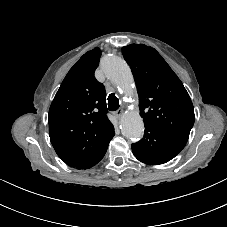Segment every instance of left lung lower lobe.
<instances>
[{
    "label": "left lung lower lobe",
    "mask_w": 227,
    "mask_h": 227,
    "mask_svg": "<svg viewBox=\"0 0 227 227\" xmlns=\"http://www.w3.org/2000/svg\"><path fill=\"white\" fill-rule=\"evenodd\" d=\"M186 142L156 127L145 126L144 137L132 144V152L143 163L159 165L179 154Z\"/></svg>",
    "instance_id": "0a47b994"
}]
</instances>
